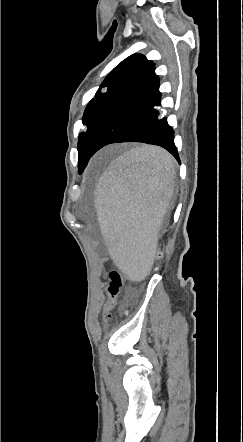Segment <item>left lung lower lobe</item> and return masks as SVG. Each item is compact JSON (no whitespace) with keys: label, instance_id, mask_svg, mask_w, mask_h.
Returning <instances> with one entry per match:
<instances>
[{"label":"left lung lower lobe","instance_id":"left-lung-lower-lobe-1","mask_svg":"<svg viewBox=\"0 0 243 442\" xmlns=\"http://www.w3.org/2000/svg\"><path fill=\"white\" fill-rule=\"evenodd\" d=\"M159 78L155 69L126 94L100 123L84 153L85 164L102 147L118 142H143L161 146L180 163L172 128L161 117Z\"/></svg>","mask_w":243,"mask_h":442}]
</instances>
